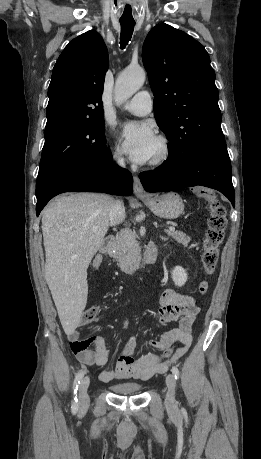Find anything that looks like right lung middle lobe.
<instances>
[{
    "label": "right lung middle lobe",
    "instance_id": "dd1d6c3e",
    "mask_svg": "<svg viewBox=\"0 0 261 459\" xmlns=\"http://www.w3.org/2000/svg\"><path fill=\"white\" fill-rule=\"evenodd\" d=\"M104 121L64 125L45 130L36 186L52 175L80 164H107Z\"/></svg>",
    "mask_w": 261,
    "mask_h": 459
}]
</instances>
